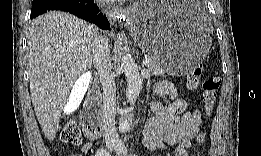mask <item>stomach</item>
<instances>
[{"mask_svg": "<svg viewBox=\"0 0 261 156\" xmlns=\"http://www.w3.org/2000/svg\"><path fill=\"white\" fill-rule=\"evenodd\" d=\"M126 24L139 47L172 75L195 68L211 45L212 25L192 3L138 2L128 10Z\"/></svg>", "mask_w": 261, "mask_h": 156, "instance_id": "stomach-1", "label": "stomach"}]
</instances>
